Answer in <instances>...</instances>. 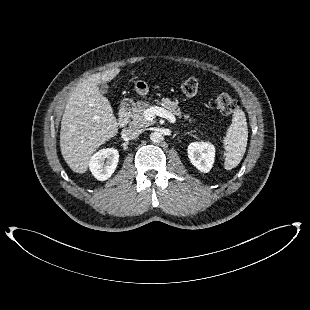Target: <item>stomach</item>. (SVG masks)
Instances as JSON below:
<instances>
[{"label":"stomach","instance_id":"1","mask_svg":"<svg viewBox=\"0 0 310 310\" xmlns=\"http://www.w3.org/2000/svg\"><path fill=\"white\" fill-rule=\"evenodd\" d=\"M134 89L141 96H145L149 92V86H148L147 82L144 80H139V79L136 80L134 82Z\"/></svg>","mask_w":310,"mask_h":310}]
</instances>
